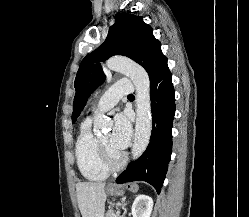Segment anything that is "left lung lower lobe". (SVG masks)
Segmentation results:
<instances>
[{
    "mask_svg": "<svg viewBox=\"0 0 249 217\" xmlns=\"http://www.w3.org/2000/svg\"><path fill=\"white\" fill-rule=\"evenodd\" d=\"M165 58L150 77L152 133L143 155L131 162L116 179L126 183L143 180L160 193L172 152V121L175 115V93Z\"/></svg>",
    "mask_w": 249,
    "mask_h": 217,
    "instance_id": "1",
    "label": "left lung lower lobe"
}]
</instances>
